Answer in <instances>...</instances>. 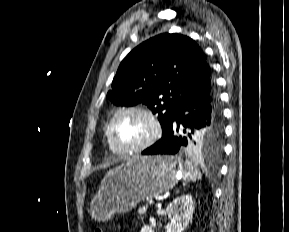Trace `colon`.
Segmentation results:
<instances>
[{
	"label": "colon",
	"mask_w": 289,
	"mask_h": 232,
	"mask_svg": "<svg viewBox=\"0 0 289 232\" xmlns=\"http://www.w3.org/2000/svg\"><path fill=\"white\" fill-rule=\"evenodd\" d=\"M93 232H104V231L102 229H100V228H97Z\"/></svg>",
	"instance_id": "1"
}]
</instances>
